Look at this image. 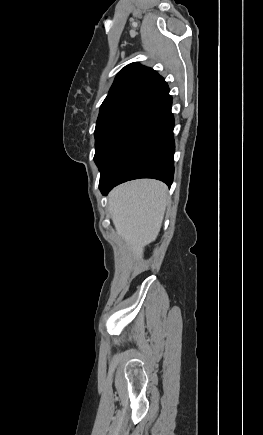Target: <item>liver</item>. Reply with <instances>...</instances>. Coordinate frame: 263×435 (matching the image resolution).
<instances>
[{
  "mask_svg": "<svg viewBox=\"0 0 263 435\" xmlns=\"http://www.w3.org/2000/svg\"><path fill=\"white\" fill-rule=\"evenodd\" d=\"M109 212L116 232L140 259L144 247L155 241L167 203V186L157 180L121 184L109 194Z\"/></svg>",
  "mask_w": 263,
  "mask_h": 435,
  "instance_id": "liver-1",
  "label": "liver"
}]
</instances>
